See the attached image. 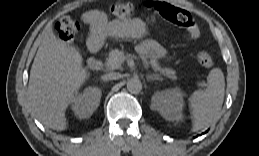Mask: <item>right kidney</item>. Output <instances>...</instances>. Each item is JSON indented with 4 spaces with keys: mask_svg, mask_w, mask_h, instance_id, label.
<instances>
[{
    "mask_svg": "<svg viewBox=\"0 0 259 156\" xmlns=\"http://www.w3.org/2000/svg\"><path fill=\"white\" fill-rule=\"evenodd\" d=\"M102 92L98 87H87L82 93L75 95L71 108L80 119L89 118L100 103Z\"/></svg>",
    "mask_w": 259,
    "mask_h": 156,
    "instance_id": "ca27d5eb",
    "label": "right kidney"
}]
</instances>
